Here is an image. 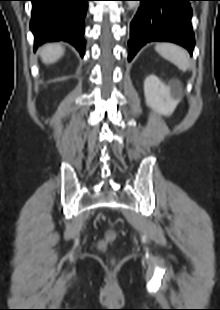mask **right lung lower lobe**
<instances>
[{
    "instance_id": "obj_1",
    "label": "right lung lower lobe",
    "mask_w": 220,
    "mask_h": 310,
    "mask_svg": "<svg viewBox=\"0 0 220 310\" xmlns=\"http://www.w3.org/2000/svg\"><path fill=\"white\" fill-rule=\"evenodd\" d=\"M89 0H31L30 29L35 49L51 41H66L84 56V18Z\"/></svg>"
}]
</instances>
